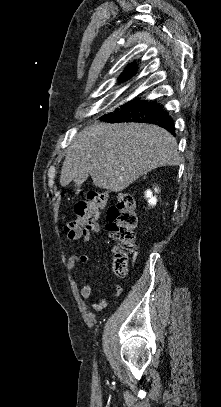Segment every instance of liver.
Wrapping results in <instances>:
<instances>
[{
    "instance_id": "obj_1",
    "label": "liver",
    "mask_w": 221,
    "mask_h": 407,
    "mask_svg": "<svg viewBox=\"0 0 221 407\" xmlns=\"http://www.w3.org/2000/svg\"><path fill=\"white\" fill-rule=\"evenodd\" d=\"M180 163L171 133L144 123H93L72 140L60 173L61 186L90 174L98 188L121 192L143 174Z\"/></svg>"
}]
</instances>
